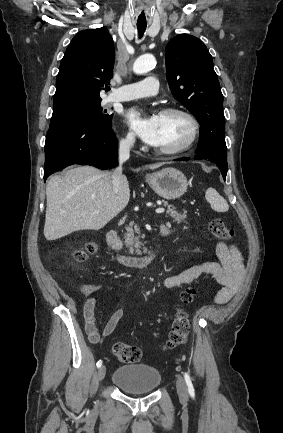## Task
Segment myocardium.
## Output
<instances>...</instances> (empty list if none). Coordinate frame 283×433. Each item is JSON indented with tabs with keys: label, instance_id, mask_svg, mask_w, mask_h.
Masks as SVG:
<instances>
[{
	"label": "myocardium",
	"instance_id": "myocardium-1",
	"mask_svg": "<svg viewBox=\"0 0 283 433\" xmlns=\"http://www.w3.org/2000/svg\"><path fill=\"white\" fill-rule=\"evenodd\" d=\"M160 114H181L190 121L192 126L190 137L181 147L171 151H160V153L165 157H177L187 153L194 146L200 136L201 123L199 119L188 109L179 106L166 107Z\"/></svg>",
	"mask_w": 283,
	"mask_h": 433
}]
</instances>
